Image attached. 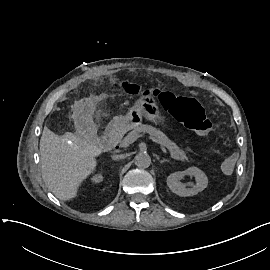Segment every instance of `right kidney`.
Listing matches in <instances>:
<instances>
[{
    "label": "right kidney",
    "mask_w": 270,
    "mask_h": 270,
    "mask_svg": "<svg viewBox=\"0 0 270 270\" xmlns=\"http://www.w3.org/2000/svg\"><path fill=\"white\" fill-rule=\"evenodd\" d=\"M101 178H102L101 176H96V177H94L93 180H94L95 182H99V181L101 180Z\"/></svg>",
    "instance_id": "ca27d5eb"
}]
</instances>
